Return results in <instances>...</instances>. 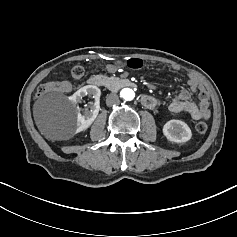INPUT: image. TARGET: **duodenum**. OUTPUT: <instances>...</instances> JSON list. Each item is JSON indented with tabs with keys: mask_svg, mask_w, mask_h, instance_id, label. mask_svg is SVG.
Wrapping results in <instances>:
<instances>
[{
	"mask_svg": "<svg viewBox=\"0 0 237 237\" xmlns=\"http://www.w3.org/2000/svg\"><path fill=\"white\" fill-rule=\"evenodd\" d=\"M88 84L93 87H103L108 84V80L103 76L94 75L89 78ZM117 84L123 87H135V83L129 79H121Z\"/></svg>",
	"mask_w": 237,
	"mask_h": 237,
	"instance_id": "duodenum-1",
	"label": "duodenum"
}]
</instances>
